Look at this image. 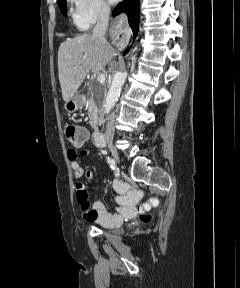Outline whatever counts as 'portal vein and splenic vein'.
<instances>
[{"label": "portal vein and splenic vein", "mask_w": 240, "mask_h": 288, "mask_svg": "<svg viewBox=\"0 0 240 288\" xmlns=\"http://www.w3.org/2000/svg\"><path fill=\"white\" fill-rule=\"evenodd\" d=\"M97 81L101 84H103L105 82V75L104 74H99L97 76Z\"/></svg>", "instance_id": "18ae733b"}]
</instances>
